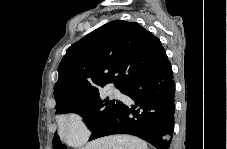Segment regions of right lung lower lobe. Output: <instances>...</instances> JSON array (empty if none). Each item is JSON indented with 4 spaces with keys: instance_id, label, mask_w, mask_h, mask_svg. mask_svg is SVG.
Here are the masks:
<instances>
[{
    "instance_id": "right-lung-lower-lobe-1",
    "label": "right lung lower lobe",
    "mask_w": 227,
    "mask_h": 149,
    "mask_svg": "<svg viewBox=\"0 0 227 149\" xmlns=\"http://www.w3.org/2000/svg\"><path fill=\"white\" fill-rule=\"evenodd\" d=\"M135 105L120 108L93 130L89 140L131 134L157 149H169L174 130L175 88L169 60L124 88Z\"/></svg>"
}]
</instances>
